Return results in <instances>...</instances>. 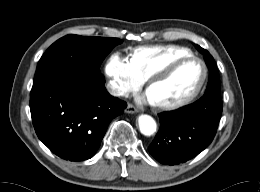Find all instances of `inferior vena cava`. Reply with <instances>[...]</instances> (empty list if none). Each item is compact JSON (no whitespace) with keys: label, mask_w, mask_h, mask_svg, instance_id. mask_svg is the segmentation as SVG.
Returning <instances> with one entry per match:
<instances>
[{"label":"inferior vena cava","mask_w":260,"mask_h":192,"mask_svg":"<svg viewBox=\"0 0 260 192\" xmlns=\"http://www.w3.org/2000/svg\"><path fill=\"white\" fill-rule=\"evenodd\" d=\"M107 90L113 96H126L127 95V92L124 89H122L119 85H117L116 83H108Z\"/></svg>","instance_id":"inferior-vena-cava-1"}]
</instances>
